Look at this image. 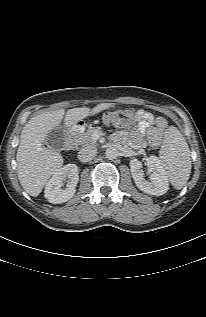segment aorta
<instances>
[{
  "label": "aorta",
  "instance_id": "1",
  "mask_svg": "<svg viewBox=\"0 0 206 317\" xmlns=\"http://www.w3.org/2000/svg\"><path fill=\"white\" fill-rule=\"evenodd\" d=\"M105 156L109 160L116 159L118 156V150L114 147L107 148L105 151Z\"/></svg>",
  "mask_w": 206,
  "mask_h": 317
}]
</instances>
